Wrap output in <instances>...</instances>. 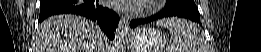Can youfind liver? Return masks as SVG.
<instances>
[{"label":"liver","mask_w":261,"mask_h":52,"mask_svg":"<svg viewBox=\"0 0 261 52\" xmlns=\"http://www.w3.org/2000/svg\"><path fill=\"white\" fill-rule=\"evenodd\" d=\"M103 35L97 24L75 15H58L40 24L34 52H102Z\"/></svg>","instance_id":"obj_1"}]
</instances>
